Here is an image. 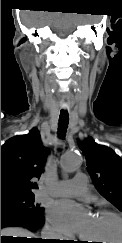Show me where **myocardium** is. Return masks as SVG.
I'll list each match as a JSON object with an SVG mask.
<instances>
[{"label":"myocardium","mask_w":122,"mask_h":243,"mask_svg":"<svg viewBox=\"0 0 122 243\" xmlns=\"http://www.w3.org/2000/svg\"><path fill=\"white\" fill-rule=\"evenodd\" d=\"M96 214L111 216V217L115 218L120 223V226L122 229V216L119 213L112 211V210H108V209H100L96 212ZM119 242L122 243V238Z\"/></svg>","instance_id":"myocardium-1"}]
</instances>
